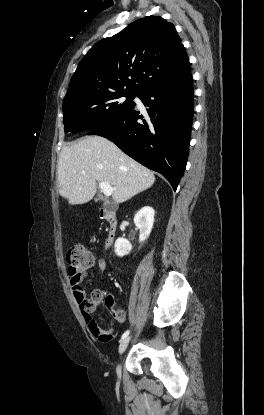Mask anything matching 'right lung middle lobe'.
<instances>
[{
    "instance_id": "1",
    "label": "right lung middle lobe",
    "mask_w": 264,
    "mask_h": 415,
    "mask_svg": "<svg viewBox=\"0 0 264 415\" xmlns=\"http://www.w3.org/2000/svg\"><path fill=\"white\" fill-rule=\"evenodd\" d=\"M123 97H126V100ZM134 98V93L119 91L65 99L63 101L65 133L92 130L115 119L135 106Z\"/></svg>"
}]
</instances>
